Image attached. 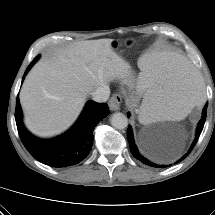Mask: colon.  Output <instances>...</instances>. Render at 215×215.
Wrapping results in <instances>:
<instances>
[{"label": "colon", "mask_w": 215, "mask_h": 215, "mask_svg": "<svg viewBox=\"0 0 215 215\" xmlns=\"http://www.w3.org/2000/svg\"><path fill=\"white\" fill-rule=\"evenodd\" d=\"M109 48L112 51L121 50L123 53H130L133 50V43L130 40L121 41L119 38H112L109 41Z\"/></svg>", "instance_id": "5ec220e1"}]
</instances>
